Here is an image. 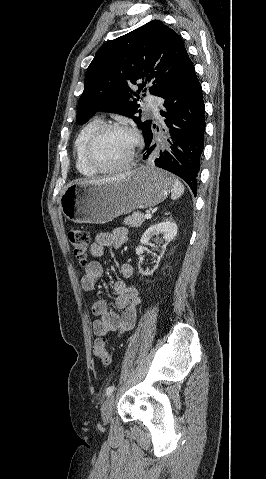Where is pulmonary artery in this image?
Wrapping results in <instances>:
<instances>
[{
	"label": "pulmonary artery",
	"instance_id": "obj_1",
	"mask_svg": "<svg viewBox=\"0 0 266 479\" xmlns=\"http://www.w3.org/2000/svg\"><path fill=\"white\" fill-rule=\"evenodd\" d=\"M148 108L149 114H154L155 116H157V109L152 103L148 104Z\"/></svg>",
	"mask_w": 266,
	"mask_h": 479
}]
</instances>
